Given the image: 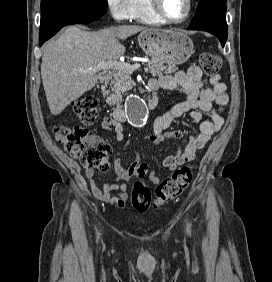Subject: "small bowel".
<instances>
[{"mask_svg": "<svg viewBox=\"0 0 272 282\" xmlns=\"http://www.w3.org/2000/svg\"><path fill=\"white\" fill-rule=\"evenodd\" d=\"M157 80L159 89L177 90L184 94L186 101L173 107L170 112L159 116L155 121L153 134L145 139L154 144H160L168 139H178L181 136L180 133L170 131V126L174 119L187 113L195 123L199 124L198 136L189 137L182 151L163 160L164 167L174 170L192 160L197 151L202 149L212 135L220 129L223 119L215 112L214 106L226 105L229 97L227 87L218 75L206 79L201 69L195 65L186 72L180 71L175 76H163ZM202 112L210 114L211 121H203ZM102 128L106 131L113 130L118 141L124 138L123 125L113 118H106L102 123ZM114 165L116 179L113 182L98 184L93 179L94 170L91 169L85 170V176L90 181L91 190L96 198L123 209L128 200V180L133 174V169L135 171L144 170L146 165L138 155L135 156L129 168L123 167L119 158L115 159ZM149 179L153 184L161 182V177L155 172H150Z\"/></svg>", "mask_w": 272, "mask_h": 282, "instance_id": "1", "label": "small bowel"}]
</instances>
